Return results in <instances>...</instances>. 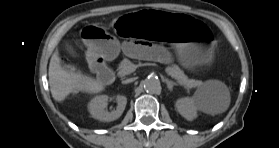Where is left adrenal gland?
<instances>
[{"mask_svg": "<svg viewBox=\"0 0 279 148\" xmlns=\"http://www.w3.org/2000/svg\"><path fill=\"white\" fill-rule=\"evenodd\" d=\"M165 81H166V83H167V87H168V89H169L170 92L173 91V87H174V86H178L177 83H175V82H173V81H171V80H169V79H165Z\"/></svg>", "mask_w": 279, "mask_h": 148, "instance_id": "a2214340", "label": "left adrenal gland"}]
</instances>
